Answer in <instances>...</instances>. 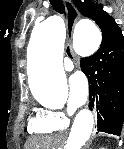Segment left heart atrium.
I'll return each instance as SVG.
<instances>
[{"instance_id":"1","label":"left heart atrium","mask_w":124,"mask_h":149,"mask_svg":"<svg viewBox=\"0 0 124 149\" xmlns=\"http://www.w3.org/2000/svg\"><path fill=\"white\" fill-rule=\"evenodd\" d=\"M88 97V84L86 78L79 73L69 79V105L73 109L83 106Z\"/></svg>"}]
</instances>
